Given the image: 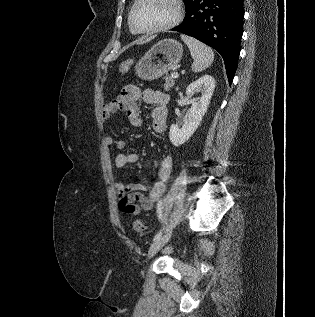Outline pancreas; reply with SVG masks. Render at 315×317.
Segmentation results:
<instances>
[{
  "label": "pancreas",
  "mask_w": 315,
  "mask_h": 317,
  "mask_svg": "<svg viewBox=\"0 0 315 317\" xmlns=\"http://www.w3.org/2000/svg\"><path fill=\"white\" fill-rule=\"evenodd\" d=\"M174 86V78L169 76V75H166L165 76V84H164V89L166 91H169L171 87Z\"/></svg>",
  "instance_id": "cf45deb5"
}]
</instances>
